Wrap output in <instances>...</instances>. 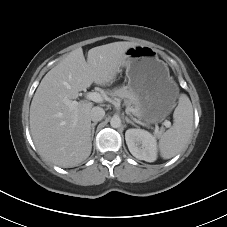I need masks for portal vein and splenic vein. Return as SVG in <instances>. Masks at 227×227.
Listing matches in <instances>:
<instances>
[{
	"label": "portal vein and splenic vein",
	"instance_id": "1",
	"mask_svg": "<svg viewBox=\"0 0 227 227\" xmlns=\"http://www.w3.org/2000/svg\"><path fill=\"white\" fill-rule=\"evenodd\" d=\"M87 100H90V101H94V102H97V103H100L103 101V97L100 93L98 92H89L86 96ZM64 103L66 105H68L70 108L72 109H76L77 106H78V102L77 101H71L69 99H64ZM163 125L167 128L171 127V122L168 121V120H165L163 122ZM155 134H159V130L158 128H155Z\"/></svg>",
	"mask_w": 227,
	"mask_h": 227
}]
</instances>
